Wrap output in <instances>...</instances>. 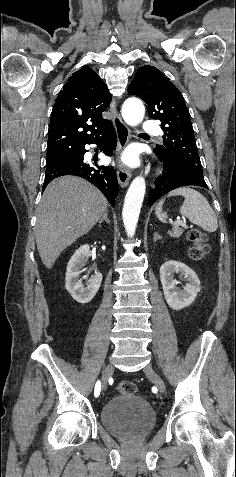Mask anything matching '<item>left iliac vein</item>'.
<instances>
[{"label": "left iliac vein", "instance_id": "4c4485c4", "mask_svg": "<svg viewBox=\"0 0 236 477\" xmlns=\"http://www.w3.org/2000/svg\"><path fill=\"white\" fill-rule=\"evenodd\" d=\"M144 373L146 376L156 385L161 393H164L166 390V386L164 380L161 376L152 368L151 365H147L144 368Z\"/></svg>", "mask_w": 236, "mask_h": 477}]
</instances>
